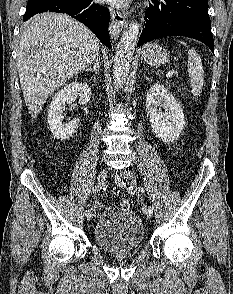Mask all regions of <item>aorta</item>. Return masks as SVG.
<instances>
[{
    "label": "aorta",
    "instance_id": "762f6f07",
    "mask_svg": "<svg viewBox=\"0 0 233 294\" xmlns=\"http://www.w3.org/2000/svg\"><path fill=\"white\" fill-rule=\"evenodd\" d=\"M139 31V24L136 21L131 22L118 42L113 62V81L116 86L123 85L129 75Z\"/></svg>",
    "mask_w": 233,
    "mask_h": 294
}]
</instances>
